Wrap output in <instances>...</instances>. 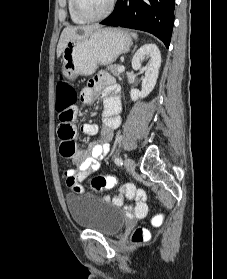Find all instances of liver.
Returning <instances> with one entry per match:
<instances>
[{"instance_id":"obj_1","label":"liver","mask_w":227,"mask_h":279,"mask_svg":"<svg viewBox=\"0 0 227 279\" xmlns=\"http://www.w3.org/2000/svg\"><path fill=\"white\" fill-rule=\"evenodd\" d=\"M100 28V25H88L80 27L67 26L64 28L57 45V57L59 58L61 56L69 41H75L87 37L92 32Z\"/></svg>"}]
</instances>
